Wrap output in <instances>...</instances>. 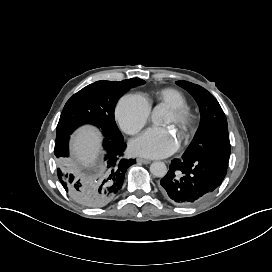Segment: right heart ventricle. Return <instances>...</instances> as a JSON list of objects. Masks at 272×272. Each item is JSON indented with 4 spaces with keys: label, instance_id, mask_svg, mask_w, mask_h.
I'll return each mask as SVG.
<instances>
[{
    "label": "right heart ventricle",
    "instance_id": "obj_1",
    "mask_svg": "<svg viewBox=\"0 0 272 272\" xmlns=\"http://www.w3.org/2000/svg\"><path fill=\"white\" fill-rule=\"evenodd\" d=\"M157 99L167 104L169 107H185L186 101L183 95L175 89H164L156 94Z\"/></svg>",
    "mask_w": 272,
    "mask_h": 272
}]
</instances>
